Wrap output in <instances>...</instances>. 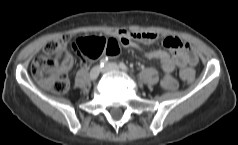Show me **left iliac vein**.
<instances>
[{
	"mask_svg": "<svg viewBox=\"0 0 238 145\" xmlns=\"http://www.w3.org/2000/svg\"><path fill=\"white\" fill-rule=\"evenodd\" d=\"M103 72H110V71H120L119 66L116 63H108L102 70Z\"/></svg>",
	"mask_w": 238,
	"mask_h": 145,
	"instance_id": "4c4485c4",
	"label": "left iliac vein"
}]
</instances>
